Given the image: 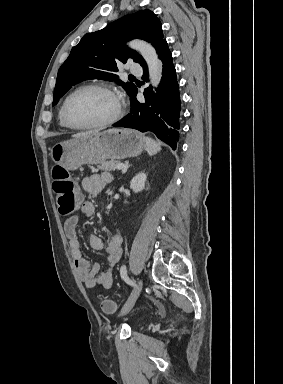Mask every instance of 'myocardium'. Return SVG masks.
I'll return each mask as SVG.
<instances>
[{"instance_id": "f54148a6", "label": "myocardium", "mask_w": 283, "mask_h": 384, "mask_svg": "<svg viewBox=\"0 0 283 384\" xmlns=\"http://www.w3.org/2000/svg\"><path fill=\"white\" fill-rule=\"evenodd\" d=\"M86 90H98V91H102V92L108 94L111 97V99L113 100L114 111H113V114L109 118H107L106 120H103V121H100V122H97V123H94L91 125H87V126H74V125L70 124V122L67 119V107H68L70 100L76 94L83 92V91H86ZM121 113H122L121 101H120L117 93L115 92V90L111 86L106 85V84L91 83V84H86V85L80 86L79 88L75 89L73 92H71L65 98L63 105H62V109H61V120H62L63 125L70 130L85 131V130L101 129V128L108 127V126H110V125H112L118 121V119L121 116Z\"/></svg>"}]
</instances>
